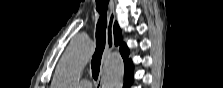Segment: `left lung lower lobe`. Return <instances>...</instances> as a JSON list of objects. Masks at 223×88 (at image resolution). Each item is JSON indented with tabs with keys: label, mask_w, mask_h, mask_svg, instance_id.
<instances>
[{
	"label": "left lung lower lobe",
	"mask_w": 223,
	"mask_h": 88,
	"mask_svg": "<svg viewBox=\"0 0 223 88\" xmlns=\"http://www.w3.org/2000/svg\"><path fill=\"white\" fill-rule=\"evenodd\" d=\"M132 83V64L125 63V83L124 88H128Z\"/></svg>",
	"instance_id": "left-lung-lower-lobe-1"
}]
</instances>
